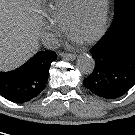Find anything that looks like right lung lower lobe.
Listing matches in <instances>:
<instances>
[{
	"mask_svg": "<svg viewBox=\"0 0 135 135\" xmlns=\"http://www.w3.org/2000/svg\"><path fill=\"white\" fill-rule=\"evenodd\" d=\"M56 58L51 50L41 51L18 69L0 72V95L16 103L38 96L45 89L50 63Z\"/></svg>",
	"mask_w": 135,
	"mask_h": 135,
	"instance_id": "obj_1",
	"label": "right lung lower lobe"
}]
</instances>
